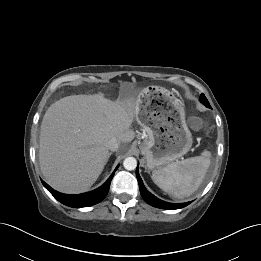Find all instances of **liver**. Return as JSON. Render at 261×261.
Wrapping results in <instances>:
<instances>
[{
    "label": "liver",
    "mask_w": 261,
    "mask_h": 261,
    "mask_svg": "<svg viewBox=\"0 0 261 261\" xmlns=\"http://www.w3.org/2000/svg\"><path fill=\"white\" fill-rule=\"evenodd\" d=\"M138 99L114 102L102 94L71 95L46 111L40 131L39 162L46 182L68 194L87 191L108 161L106 143L134 139L130 129Z\"/></svg>",
    "instance_id": "liver-1"
}]
</instances>
